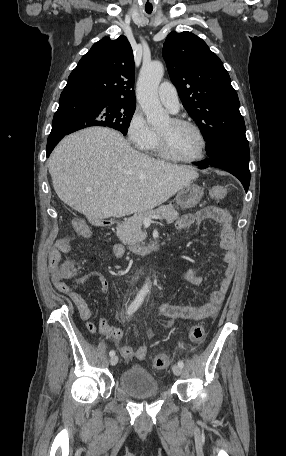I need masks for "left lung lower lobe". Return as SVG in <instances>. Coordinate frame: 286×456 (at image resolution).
I'll return each instance as SVG.
<instances>
[{
  "label": "left lung lower lobe",
  "instance_id": "0a47b994",
  "mask_svg": "<svg viewBox=\"0 0 286 456\" xmlns=\"http://www.w3.org/2000/svg\"><path fill=\"white\" fill-rule=\"evenodd\" d=\"M209 161L194 163L200 169H205L209 165L221 168L237 177L245 191H248L250 184L249 171V144L248 143H228L219 145L207 153Z\"/></svg>",
  "mask_w": 286,
  "mask_h": 456
}]
</instances>
